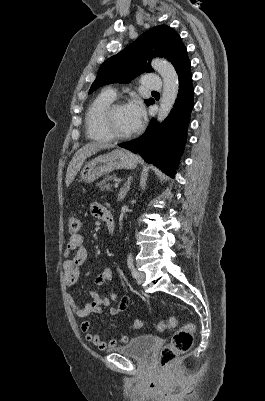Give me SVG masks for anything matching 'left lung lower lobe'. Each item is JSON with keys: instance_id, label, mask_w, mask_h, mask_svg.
<instances>
[{"instance_id": "left-lung-lower-lobe-1", "label": "left lung lower lobe", "mask_w": 265, "mask_h": 401, "mask_svg": "<svg viewBox=\"0 0 265 401\" xmlns=\"http://www.w3.org/2000/svg\"><path fill=\"white\" fill-rule=\"evenodd\" d=\"M176 71L179 91L167 119L161 125L152 119L141 137L119 144L120 147L139 153L146 162L154 164L171 177H174V168L186 142L194 94L189 59L183 60Z\"/></svg>"}]
</instances>
